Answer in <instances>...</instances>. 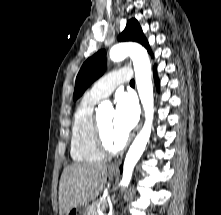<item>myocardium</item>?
Masks as SVG:
<instances>
[{"instance_id": "obj_1", "label": "myocardium", "mask_w": 221, "mask_h": 215, "mask_svg": "<svg viewBox=\"0 0 221 215\" xmlns=\"http://www.w3.org/2000/svg\"><path fill=\"white\" fill-rule=\"evenodd\" d=\"M93 137L98 150L104 155H115L123 151L127 145V138H124L117 146H111L103 133L99 116H96L94 119L93 125Z\"/></svg>"}]
</instances>
